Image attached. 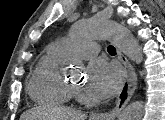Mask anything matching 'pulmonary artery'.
Here are the masks:
<instances>
[{
    "instance_id": "obj_1",
    "label": "pulmonary artery",
    "mask_w": 165,
    "mask_h": 120,
    "mask_svg": "<svg viewBox=\"0 0 165 120\" xmlns=\"http://www.w3.org/2000/svg\"><path fill=\"white\" fill-rule=\"evenodd\" d=\"M53 46L66 56L79 55L88 57L98 52V45L96 43L83 41L76 42L65 38L56 41Z\"/></svg>"
}]
</instances>
